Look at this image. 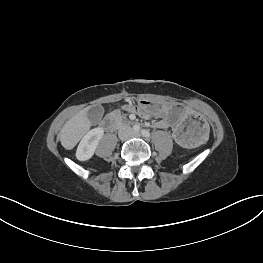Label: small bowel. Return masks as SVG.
Wrapping results in <instances>:
<instances>
[{
  "mask_svg": "<svg viewBox=\"0 0 263 263\" xmlns=\"http://www.w3.org/2000/svg\"><path fill=\"white\" fill-rule=\"evenodd\" d=\"M125 110H127L131 113H134V114H136L139 117L144 118V119H148L152 115V114H148V113L144 112L142 107H134V106L128 105L125 107ZM155 127L159 128V129H168L166 126L161 125L159 123V121L155 123ZM172 135H173V131H172Z\"/></svg>",
  "mask_w": 263,
  "mask_h": 263,
  "instance_id": "1",
  "label": "small bowel"
}]
</instances>
